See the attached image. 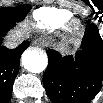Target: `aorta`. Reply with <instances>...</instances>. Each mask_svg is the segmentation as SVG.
Wrapping results in <instances>:
<instances>
[{
	"label": "aorta",
	"mask_w": 103,
	"mask_h": 103,
	"mask_svg": "<svg viewBox=\"0 0 103 103\" xmlns=\"http://www.w3.org/2000/svg\"><path fill=\"white\" fill-rule=\"evenodd\" d=\"M48 58L45 53L35 50H26L22 54L23 67L32 73H40L45 70Z\"/></svg>",
	"instance_id": "762f6f07"
}]
</instances>
